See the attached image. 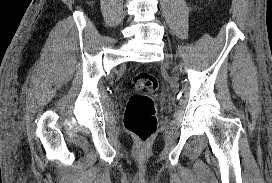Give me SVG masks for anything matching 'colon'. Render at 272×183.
Here are the masks:
<instances>
[{
  "label": "colon",
  "mask_w": 272,
  "mask_h": 183,
  "mask_svg": "<svg viewBox=\"0 0 272 183\" xmlns=\"http://www.w3.org/2000/svg\"><path fill=\"white\" fill-rule=\"evenodd\" d=\"M136 93L130 96L124 114V126L140 143L148 142L157 129L156 107L152 94L157 91V78L148 71L132 79Z\"/></svg>",
  "instance_id": "1"
}]
</instances>
